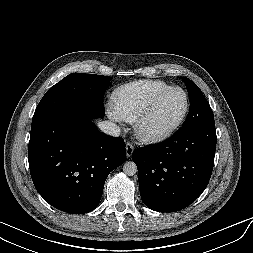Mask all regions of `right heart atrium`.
<instances>
[{
  "label": "right heart atrium",
  "mask_w": 253,
  "mask_h": 253,
  "mask_svg": "<svg viewBox=\"0 0 253 253\" xmlns=\"http://www.w3.org/2000/svg\"><path fill=\"white\" fill-rule=\"evenodd\" d=\"M107 114L108 116L112 119V120H115V121H120L121 118L120 116L118 115L117 111L115 110L114 106L113 105H109L107 107Z\"/></svg>",
  "instance_id": "right-heart-atrium-1"
}]
</instances>
